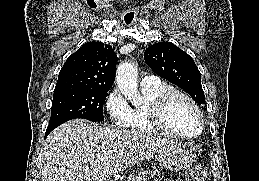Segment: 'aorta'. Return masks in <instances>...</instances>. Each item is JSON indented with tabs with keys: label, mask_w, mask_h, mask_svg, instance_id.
<instances>
[{
	"label": "aorta",
	"mask_w": 259,
	"mask_h": 181,
	"mask_svg": "<svg viewBox=\"0 0 259 181\" xmlns=\"http://www.w3.org/2000/svg\"><path fill=\"white\" fill-rule=\"evenodd\" d=\"M116 83L120 92L134 106H139L143 98L138 92L137 68L129 62L124 61L119 64L116 70Z\"/></svg>",
	"instance_id": "obj_1"
}]
</instances>
